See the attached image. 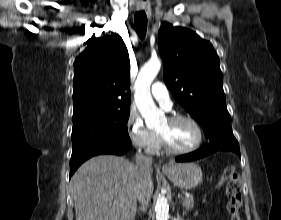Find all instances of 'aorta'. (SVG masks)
<instances>
[{
	"mask_svg": "<svg viewBox=\"0 0 281 220\" xmlns=\"http://www.w3.org/2000/svg\"><path fill=\"white\" fill-rule=\"evenodd\" d=\"M161 68L159 59L149 60L140 70L135 82L134 99L137 108L145 119L147 127H154L163 117L151 96L150 86ZM156 220H168L169 205L166 198L159 196L155 206Z\"/></svg>",
	"mask_w": 281,
	"mask_h": 220,
	"instance_id": "762f6f07",
	"label": "aorta"
}]
</instances>
